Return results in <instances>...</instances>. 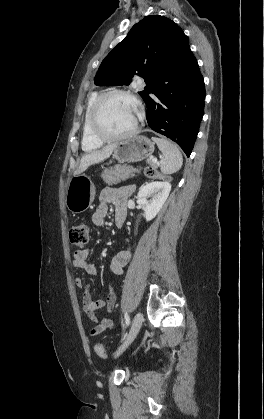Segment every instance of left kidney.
I'll use <instances>...</instances> for the list:
<instances>
[{"instance_id":"obj_1","label":"left kidney","mask_w":264,"mask_h":419,"mask_svg":"<svg viewBox=\"0 0 264 419\" xmlns=\"http://www.w3.org/2000/svg\"><path fill=\"white\" fill-rule=\"evenodd\" d=\"M170 191L171 184L168 181L150 182L140 188L137 194V203L143 207L146 221L155 218L167 200Z\"/></svg>"}]
</instances>
